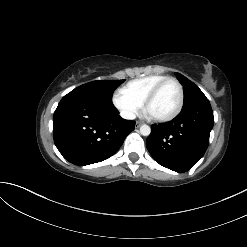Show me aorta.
<instances>
[{"label":"aorta","instance_id":"aorta-1","mask_svg":"<svg viewBox=\"0 0 247 247\" xmlns=\"http://www.w3.org/2000/svg\"><path fill=\"white\" fill-rule=\"evenodd\" d=\"M140 133H141V135H143V136H149L150 133H151V128H150V126H148V125H146V124L142 125V126L140 127Z\"/></svg>","mask_w":247,"mask_h":247}]
</instances>
